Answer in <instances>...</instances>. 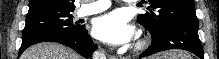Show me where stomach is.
<instances>
[{
  "label": "stomach",
  "mask_w": 219,
  "mask_h": 59,
  "mask_svg": "<svg viewBox=\"0 0 219 59\" xmlns=\"http://www.w3.org/2000/svg\"><path fill=\"white\" fill-rule=\"evenodd\" d=\"M169 54H165L162 56H157L156 59H167Z\"/></svg>",
  "instance_id": "stomach-1"
}]
</instances>
